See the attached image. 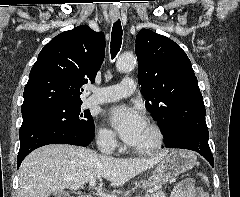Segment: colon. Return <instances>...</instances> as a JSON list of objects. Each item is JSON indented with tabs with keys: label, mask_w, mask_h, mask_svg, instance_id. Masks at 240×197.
<instances>
[{
	"label": "colon",
	"mask_w": 240,
	"mask_h": 197,
	"mask_svg": "<svg viewBox=\"0 0 240 197\" xmlns=\"http://www.w3.org/2000/svg\"><path fill=\"white\" fill-rule=\"evenodd\" d=\"M198 178L200 181H202L205 184H208V177L205 174H198Z\"/></svg>",
	"instance_id": "1"
}]
</instances>
